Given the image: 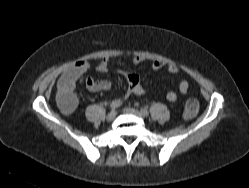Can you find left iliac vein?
<instances>
[{
	"label": "left iliac vein",
	"mask_w": 249,
	"mask_h": 188,
	"mask_svg": "<svg viewBox=\"0 0 249 188\" xmlns=\"http://www.w3.org/2000/svg\"><path fill=\"white\" fill-rule=\"evenodd\" d=\"M123 111L144 118V115L134 108H124Z\"/></svg>",
	"instance_id": "left-iliac-vein-1"
}]
</instances>
